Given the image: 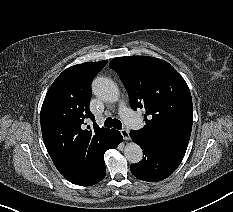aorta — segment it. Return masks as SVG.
<instances>
[{
	"label": "aorta",
	"instance_id": "1",
	"mask_svg": "<svg viewBox=\"0 0 233 212\" xmlns=\"http://www.w3.org/2000/svg\"><path fill=\"white\" fill-rule=\"evenodd\" d=\"M92 91L97 97L106 102H116L120 97L117 84L106 77H97L92 83ZM124 155L130 163L135 164L141 161L143 152L138 144L130 142L124 148Z\"/></svg>",
	"mask_w": 233,
	"mask_h": 212
}]
</instances>
